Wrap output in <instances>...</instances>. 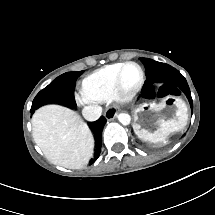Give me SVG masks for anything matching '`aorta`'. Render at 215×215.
<instances>
[{"label":"aorta","mask_w":215,"mask_h":215,"mask_svg":"<svg viewBox=\"0 0 215 215\" xmlns=\"http://www.w3.org/2000/svg\"><path fill=\"white\" fill-rule=\"evenodd\" d=\"M117 119L120 123L127 125L130 122V115L127 113H119Z\"/></svg>","instance_id":"762f6f07"}]
</instances>
